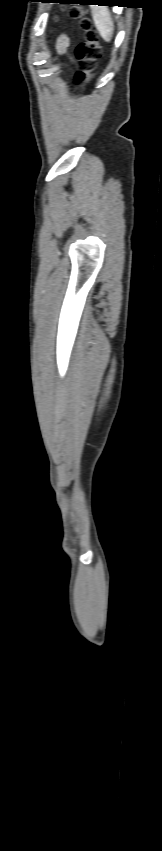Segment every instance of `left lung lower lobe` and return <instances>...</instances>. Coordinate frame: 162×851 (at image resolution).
<instances>
[{
  "label": "left lung lower lobe",
  "mask_w": 162,
  "mask_h": 851,
  "mask_svg": "<svg viewBox=\"0 0 162 851\" xmlns=\"http://www.w3.org/2000/svg\"><path fill=\"white\" fill-rule=\"evenodd\" d=\"M111 1H113V0H61L58 3H61V4H72V3H74V4H80V5H87V4H90V3H97V2L98 3H109ZM50 2H53V1H50ZM100 5L101 4H99V6Z\"/></svg>",
  "instance_id": "0a47b994"
}]
</instances>
